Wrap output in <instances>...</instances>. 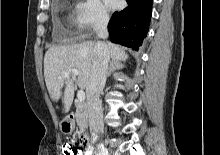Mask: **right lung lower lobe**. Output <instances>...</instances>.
I'll use <instances>...</instances> for the list:
<instances>
[{"label": "right lung lower lobe", "mask_w": 220, "mask_h": 155, "mask_svg": "<svg viewBox=\"0 0 220 155\" xmlns=\"http://www.w3.org/2000/svg\"><path fill=\"white\" fill-rule=\"evenodd\" d=\"M128 7L115 12L109 21L110 40L138 50L149 29L152 0H126Z\"/></svg>", "instance_id": "right-lung-lower-lobe-1"}]
</instances>
